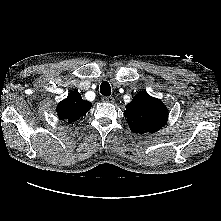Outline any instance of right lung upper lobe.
Masks as SVG:
<instances>
[{"label": "right lung upper lobe", "mask_w": 221, "mask_h": 221, "mask_svg": "<svg viewBox=\"0 0 221 221\" xmlns=\"http://www.w3.org/2000/svg\"><path fill=\"white\" fill-rule=\"evenodd\" d=\"M91 106V102L83 100L78 92L72 91L59 103L57 113L60 119L75 122L84 116Z\"/></svg>", "instance_id": "cb5924a9"}]
</instances>
